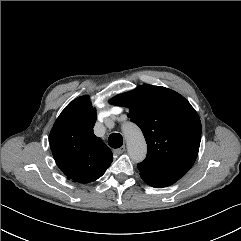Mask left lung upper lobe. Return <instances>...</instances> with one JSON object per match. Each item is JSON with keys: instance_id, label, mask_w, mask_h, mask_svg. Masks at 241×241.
<instances>
[{"instance_id": "1", "label": "left lung upper lobe", "mask_w": 241, "mask_h": 241, "mask_svg": "<svg viewBox=\"0 0 241 241\" xmlns=\"http://www.w3.org/2000/svg\"><path fill=\"white\" fill-rule=\"evenodd\" d=\"M111 104L128 107V117L147 142L140 174L172 185L194 164L201 140V122L191 104L179 93L152 85L117 95Z\"/></svg>"}]
</instances>
